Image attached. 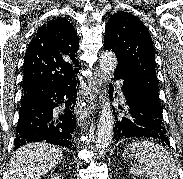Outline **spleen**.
I'll use <instances>...</instances> for the list:
<instances>
[{"label":"spleen","instance_id":"3e777b00","mask_svg":"<svg viewBox=\"0 0 183 179\" xmlns=\"http://www.w3.org/2000/svg\"><path fill=\"white\" fill-rule=\"evenodd\" d=\"M129 153L135 154L139 163V166L130 167L132 175L149 179H178L175 161L163 146L149 140L136 141L125 148V159Z\"/></svg>","mask_w":183,"mask_h":179}]
</instances>
